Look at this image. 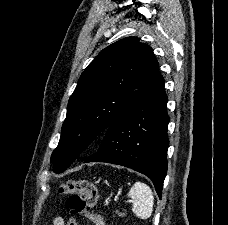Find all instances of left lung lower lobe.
<instances>
[{
  "mask_svg": "<svg viewBox=\"0 0 228 225\" xmlns=\"http://www.w3.org/2000/svg\"><path fill=\"white\" fill-rule=\"evenodd\" d=\"M167 96L161 76L147 93L106 130L98 151L84 163L121 165L149 177L161 198L167 173Z\"/></svg>",
  "mask_w": 228,
  "mask_h": 225,
  "instance_id": "1",
  "label": "left lung lower lobe"
}]
</instances>
